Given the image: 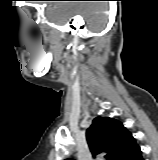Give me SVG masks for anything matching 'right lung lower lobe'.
<instances>
[{
    "instance_id": "98d812e1",
    "label": "right lung lower lobe",
    "mask_w": 158,
    "mask_h": 160,
    "mask_svg": "<svg viewBox=\"0 0 158 160\" xmlns=\"http://www.w3.org/2000/svg\"><path fill=\"white\" fill-rule=\"evenodd\" d=\"M125 160H143L140 147L138 146Z\"/></svg>"
}]
</instances>
